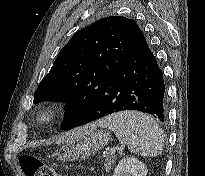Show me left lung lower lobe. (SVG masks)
Instances as JSON below:
<instances>
[{"label": "left lung lower lobe", "mask_w": 205, "mask_h": 176, "mask_svg": "<svg viewBox=\"0 0 205 176\" xmlns=\"http://www.w3.org/2000/svg\"><path fill=\"white\" fill-rule=\"evenodd\" d=\"M163 73L144 39L82 114L78 127L122 110H137L165 121Z\"/></svg>", "instance_id": "1"}]
</instances>
